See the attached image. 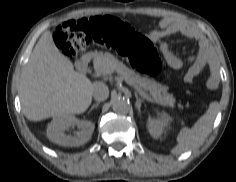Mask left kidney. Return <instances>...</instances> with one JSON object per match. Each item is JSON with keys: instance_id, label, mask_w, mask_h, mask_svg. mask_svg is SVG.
I'll return each instance as SVG.
<instances>
[{"instance_id": "5707ae66", "label": "left kidney", "mask_w": 236, "mask_h": 182, "mask_svg": "<svg viewBox=\"0 0 236 182\" xmlns=\"http://www.w3.org/2000/svg\"><path fill=\"white\" fill-rule=\"evenodd\" d=\"M171 121L172 118L167 113L160 114L157 119L149 118L147 127L150 135L155 139L159 138Z\"/></svg>"}]
</instances>
